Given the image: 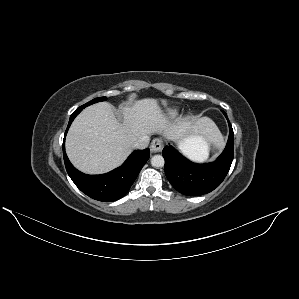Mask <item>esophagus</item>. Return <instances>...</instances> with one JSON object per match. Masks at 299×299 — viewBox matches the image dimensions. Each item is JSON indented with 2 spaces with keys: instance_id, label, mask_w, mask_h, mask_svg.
<instances>
[{
  "instance_id": "obj_1",
  "label": "esophagus",
  "mask_w": 299,
  "mask_h": 299,
  "mask_svg": "<svg viewBox=\"0 0 299 299\" xmlns=\"http://www.w3.org/2000/svg\"><path fill=\"white\" fill-rule=\"evenodd\" d=\"M162 148H163L162 139H160V138L153 139V141L151 142V145H150L151 152L158 153L162 150Z\"/></svg>"
}]
</instances>
